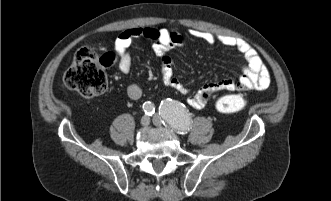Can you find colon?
<instances>
[{
  "label": "colon",
  "mask_w": 331,
  "mask_h": 201,
  "mask_svg": "<svg viewBox=\"0 0 331 201\" xmlns=\"http://www.w3.org/2000/svg\"><path fill=\"white\" fill-rule=\"evenodd\" d=\"M115 61V54H98L90 48L80 49L63 77V86L82 97L92 98L103 94L107 89L105 68ZM238 93L220 97L216 108L222 113H234L248 105L246 89Z\"/></svg>",
  "instance_id": "5ec220e1"
}]
</instances>
